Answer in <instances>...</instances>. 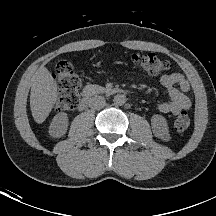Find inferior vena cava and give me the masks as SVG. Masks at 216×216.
<instances>
[{"label":"inferior vena cava","instance_id":"obj_1","mask_svg":"<svg viewBox=\"0 0 216 216\" xmlns=\"http://www.w3.org/2000/svg\"><path fill=\"white\" fill-rule=\"evenodd\" d=\"M105 106V98L102 96H93L89 99V107L95 110H100Z\"/></svg>","mask_w":216,"mask_h":216}]
</instances>
